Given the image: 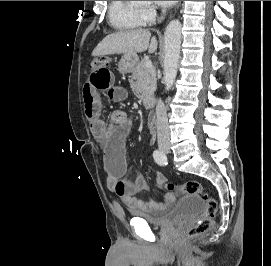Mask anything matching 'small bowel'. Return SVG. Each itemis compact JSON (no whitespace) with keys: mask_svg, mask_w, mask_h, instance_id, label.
Masks as SVG:
<instances>
[{"mask_svg":"<svg viewBox=\"0 0 271 266\" xmlns=\"http://www.w3.org/2000/svg\"><path fill=\"white\" fill-rule=\"evenodd\" d=\"M99 91L107 92L113 98L125 96L124 90L115 86V74L108 66L90 70V77L83 88V102L93 137L107 143L104 166L109 189L129 208L144 212L167 209L175 200L174 194L167 193L160 201L142 200L136 194L150 189L148 180L142 175L132 180L123 177L127 169L124 138L130 122L125 112L117 110L112 113L108 126L101 116ZM155 179L159 185L166 182V177L160 172L155 174Z\"/></svg>","mask_w":271,"mask_h":266,"instance_id":"1","label":"small bowel"}]
</instances>
